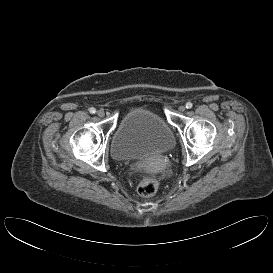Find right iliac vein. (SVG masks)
<instances>
[{"mask_svg": "<svg viewBox=\"0 0 273 273\" xmlns=\"http://www.w3.org/2000/svg\"><path fill=\"white\" fill-rule=\"evenodd\" d=\"M97 115L99 116V117H104L105 116V112L103 111V110H99L98 112H97Z\"/></svg>", "mask_w": 273, "mask_h": 273, "instance_id": "63e3f726", "label": "right iliac vein"}]
</instances>
